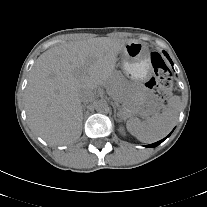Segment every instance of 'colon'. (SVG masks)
<instances>
[{
    "label": "colon",
    "instance_id": "5ec220e1",
    "mask_svg": "<svg viewBox=\"0 0 207 207\" xmlns=\"http://www.w3.org/2000/svg\"><path fill=\"white\" fill-rule=\"evenodd\" d=\"M150 63L154 74L148 81V87L152 91L155 102L164 103L171 93V72L158 52L150 54Z\"/></svg>",
    "mask_w": 207,
    "mask_h": 207
}]
</instances>
